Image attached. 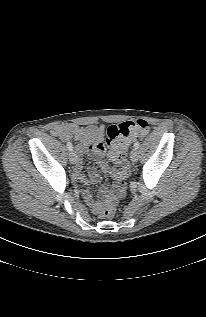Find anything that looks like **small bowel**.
I'll use <instances>...</instances> for the list:
<instances>
[{"label":"small bowel","instance_id":"1","mask_svg":"<svg viewBox=\"0 0 206 317\" xmlns=\"http://www.w3.org/2000/svg\"><path fill=\"white\" fill-rule=\"evenodd\" d=\"M93 131L94 130L92 128H83L75 124H61L55 126L52 129V134L65 142L71 140L72 138H75L79 141V144L76 146V155L78 157L87 151L91 158H93L94 160H98L104 154L105 151L103 143L100 140H98L90 144L88 147H85V144L83 142L84 138L87 135L91 134ZM96 131L98 135H101V133L103 132V126H100ZM112 154L113 152L110 153V158L112 157ZM104 170L106 172L112 173V169L108 165L104 166ZM87 174L92 182L99 181V176L93 166H90L88 168ZM74 178L77 181L86 182V176L82 172V167L79 161L74 169ZM123 192L120 194V196H122ZM82 196L87 205L93 211H97L99 205L93 198L92 194L89 191L84 190L82 191Z\"/></svg>","mask_w":206,"mask_h":317}]
</instances>
